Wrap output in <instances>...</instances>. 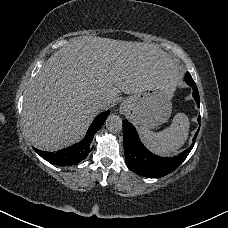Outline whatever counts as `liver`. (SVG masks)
<instances>
[{"mask_svg":"<svg viewBox=\"0 0 228 228\" xmlns=\"http://www.w3.org/2000/svg\"><path fill=\"white\" fill-rule=\"evenodd\" d=\"M183 74L171 54L153 44L74 38L45 61L25 93L27 136L37 149H62L79 140L101 109L118 102L121 92L159 86L172 94ZM100 98L109 104L97 107Z\"/></svg>","mask_w":228,"mask_h":228,"instance_id":"1","label":"liver"}]
</instances>
